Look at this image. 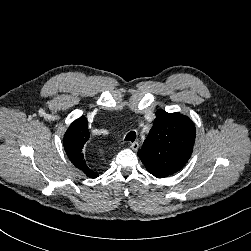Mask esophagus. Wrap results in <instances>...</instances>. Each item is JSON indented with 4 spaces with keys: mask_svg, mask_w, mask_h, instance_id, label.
<instances>
[{
    "mask_svg": "<svg viewBox=\"0 0 251 251\" xmlns=\"http://www.w3.org/2000/svg\"><path fill=\"white\" fill-rule=\"evenodd\" d=\"M131 149L133 150H138L139 148V143L138 142H133L131 145H130Z\"/></svg>",
    "mask_w": 251,
    "mask_h": 251,
    "instance_id": "34e87169",
    "label": "esophagus"
}]
</instances>
